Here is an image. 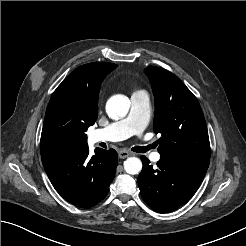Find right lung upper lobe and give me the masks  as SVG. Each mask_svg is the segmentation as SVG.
Here are the masks:
<instances>
[{
    "instance_id": "cb5924a9",
    "label": "right lung upper lobe",
    "mask_w": 246,
    "mask_h": 246,
    "mask_svg": "<svg viewBox=\"0 0 246 246\" xmlns=\"http://www.w3.org/2000/svg\"><path fill=\"white\" fill-rule=\"evenodd\" d=\"M116 66L105 62L82 65L57 87L44 119L41 155L65 145H87L85 131L98 116L100 84Z\"/></svg>"
}]
</instances>
